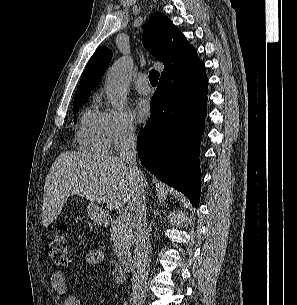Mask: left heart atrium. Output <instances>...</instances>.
<instances>
[{
	"label": "left heart atrium",
	"instance_id": "obj_1",
	"mask_svg": "<svg viewBox=\"0 0 297 305\" xmlns=\"http://www.w3.org/2000/svg\"><path fill=\"white\" fill-rule=\"evenodd\" d=\"M136 117L139 122H144L150 115V106L146 101H139L136 106Z\"/></svg>",
	"mask_w": 297,
	"mask_h": 305
}]
</instances>
